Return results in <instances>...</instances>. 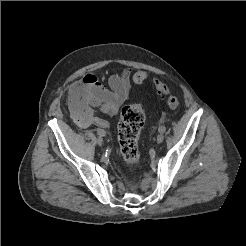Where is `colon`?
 Returning <instances> with one entry per match:
<instances>
[{"mask_svg": "<svg viewBox=\"0 0 246 246\" xmlns=\"http://www.w3.org/2000/svg\"><path fill=\"white\" fill-rule=\"evenodd\" d=\"M148 78L145 71H138L133 75V82L136 85L144 83ZM154 87L161 98L166 101L171 110L179 107V99L170 93L166 83L158 78L153 79ZM145 122L143 108L139 104H131L122 108L118 124V141L124 161L134 166L140 160L138 149V138Z\"/></svg>", "mask_w": 246, "mask_h": 246, "instance_id": "1", "label": "colon"}]
</instances>
